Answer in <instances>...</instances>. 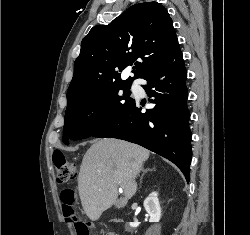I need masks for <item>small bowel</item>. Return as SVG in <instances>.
<instances>
[{"instance_id": "small-bowel-1", "label": "small bowel", "mask_w": 250, "mask_h": 235, "mask_svg": "<svg viewBox=\"0 0 250 235\" xmlns=\"http://www.w3.org/2000/svg\"><path fill=\"white\" fill-rule=\"evenodd\" d=\"M106 235H116L115 233H107Z\"/></svg>"}]
</instances>
